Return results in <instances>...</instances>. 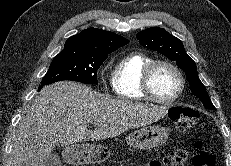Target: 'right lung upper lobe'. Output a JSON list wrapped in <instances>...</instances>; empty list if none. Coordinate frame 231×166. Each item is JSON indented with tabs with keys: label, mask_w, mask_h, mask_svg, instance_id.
<instances>
[{
	"label": "right lung upper lobe",
	"mask_w": 231,
	"mask_h": 166,
	"mask_svg": "<svg viewBox=\"0 0 231 166\" xmlns=\"http://www.w3.org/2000/svg\"><path fill=\"white\" fill-rule=\"evenodd\" d=\"M129 40L110 31L88 28L68 38L62 51H71L90 56H106Z\"/></svg>",
	"instance_id": "cb5924a9"
}]
</instances>
